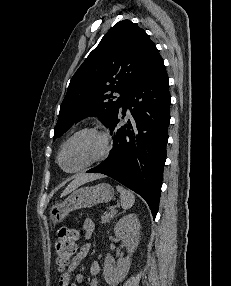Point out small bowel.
<instances>
[{
    "instance_id": "obj_1",
    "label": "small bowel",
    "mask_w": 231,
    "mask_h": 286,
    "mask_svg": "<svg viewBox=\"0 0 231 286\" xmlns=\"http://www.w3.org/2000/svg\"><path fill=\"white\" fill-rule=\"evenodd\" d=\"M82 230L84 233V241L81 243L79 251L73 257L67 271H65L59 278V286H78V283H84V277L81 274L75 276L76 282L71 280L72 272L80 265L83 259L88 255L90 250L89 239L92 237L95 230V224L92 219L87 218L82 223ZM100 271V265L97 261H93L90 265L91 280L89 286L98 285V274Z\"/></svg>"
}]
</instances>
